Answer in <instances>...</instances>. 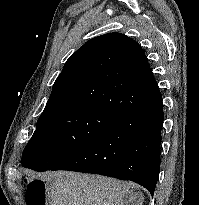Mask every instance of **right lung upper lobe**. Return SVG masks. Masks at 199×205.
<instances>
[{"instance_id": "1", "label": "right lung upper lobe", "mask_w": 199, "mask_h": 205, "mask_svg": "<svg viewBox=\"0 0 199 205\" xmlns=\"http://www.w3.org/2000/svg\"><path fill=\"white\" fill-rule=\"evenodd\" d=\"M154 80L141 46L121 33L87 41L65 63L43 112L89 106L117 117L143 101L129 84Z\"/></svg>"}]
</instances>
